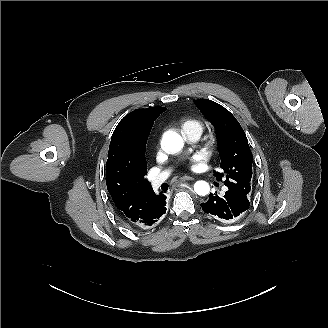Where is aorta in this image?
<instances>
[{
    "label": "aorta",
    "instance_id": "1",
    "mask_svg": "<svg viewBox=\"0 0 328 328\" xmlns=\"http://www.w3.org/2000/svg\"><path fill=\"white\" fill-rule=\"evenodd\" d=\"M162 146L170 153L180 151L184 146L183 138L176 132H167L162 138ZM194 191L200 196H205L210 191V186L206 181L195 182Z\"/></svg>",
    "mask_w": 328,
    "mask_h": 328
}]
</instances>
